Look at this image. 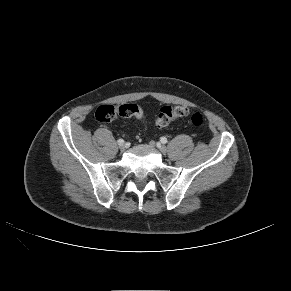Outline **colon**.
Returning a JSON list of instances; mask_svg holds the SVG:
<instances>
[{"instance_id":"colon-1","label":"colon","mask_w":291,"mask_h":291,"mask_svg":"<svg viewBox=\"0 0 291 291\" xmlns=\"http://www.w3.org/2000/svg\"><path fill=\"white\" fill-rule=\"evenodd\" d=\"M117 116L141 119L144 117V112L141 106L135 103H127L120 106L102 105L95 112V118L100 122L112 121ZM184 117H189L191 123L196 127H200L203 124L201 113L191 112L188 107L182 105L162 107L155 119V124L163 128Z\"/></svg>"}]
</instances>
